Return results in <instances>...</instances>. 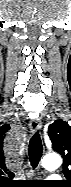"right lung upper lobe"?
<instances>
[{
  "label": "right lung upper lobe",
  "mask_w": 71,
  "mask_h": 187,
  "mask_svg": "<svg viewBox=\"0 0 71 187\" xmlns=\"http://www.w3.org/2000/svg\"><path fill=\"white\" fill-rule=\"evenodd\" d=\"M10 129L9 125L8 124H5L3 126L0 127V136L2 138V140L4 139L5 137V133ZM4 155V152H1V158L0 160L2 161V170L4 171V173H7L8 169L4 166L5 165V158L3 157Z\"/></svg>",
  "instance_id": "cb5924a9"
}]
</instances>
